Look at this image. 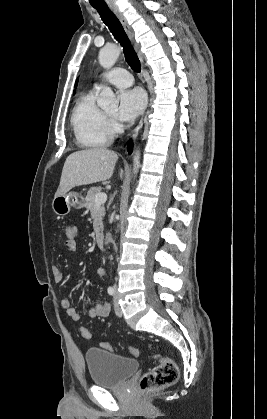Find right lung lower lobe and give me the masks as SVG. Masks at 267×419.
<instances>
[{"label": "right lung lower lobe", "mask_w": 267, "mask_h": 419, "mask_svg": "<svg viewBox=\"0 0 267 419\" xmlns=\"http://www.w3.org/2000/svg\"><path fill=\"white\" fill-rule=\"evenodd\" d=\"M131 149H132V142L129 141L128 142V147H127V150H128L129 153H131Z\"/></svg>", "instance_id": "right-lung-lower-lobe-1"}]
</instances>
